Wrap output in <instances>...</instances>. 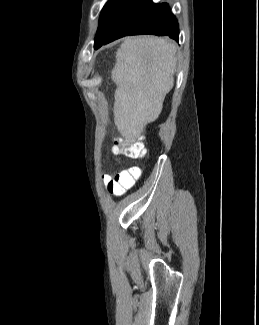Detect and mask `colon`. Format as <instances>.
<instances>
[{
    "instance_id": "1",
    "label": "colon",
    "mask_w": 259,
    "mask_h": 325,
    "mask_svg": "<svg viewBox=\"0 0 259 325\" xmlns=\"http://www.w3.org/2000/svg\"><path fill=\"white\" fill-rule=\"evenodd\" d=\"M112 149L116 154H124L132 158L143 157L146 153L144 145L140 141H124L115 139ZM140 174L138 171L129 169L115 174L108 182V192L113 196H120L126 190L133 187Z\"/></svg>"
}]
</instances>
